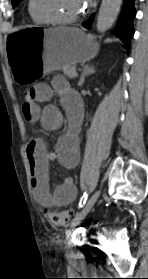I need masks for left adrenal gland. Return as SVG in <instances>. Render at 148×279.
Instances as JSON below:
<instances>
[{
    "instance_id": "obj_1",
    "label": "left adrenal gland",
    "mask_w": 148,
    "mask_h": 279,
    "mask_svg": "<svg viewBox=\"0 0 148 279\" xmlns=\"http://www.w3.org/2000/svg\"><path fill=\"white\" fill-rule=\"evenodd\" d=\"M95 73V67L94 66H90V65H85L83 67V71H82V74H81V77H80V81L78 83V86H82L84 84V81H85V77L86 76H89L91 74H94Z\"/></svg>"
}]
</instances>
